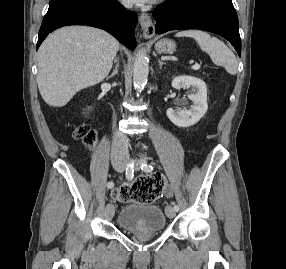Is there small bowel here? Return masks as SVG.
<instances>
[{
  "instance_id": "small-bowel-1",
  "label": "small bowel",
  "mask_w": 286,
  "mask_h": 269,
  "mask_svg": "<svg viewBox=\"0 0 286 269\" xmlns=\"http://www.w3.org/2000/svg\"><path fill=\"white\" fill-rule=\"evenodd\" d=\"M165 195H166L167 197H171V196H172V190H171L170 188H166V190H165Z\"/></svg>"
}]
</instances>
